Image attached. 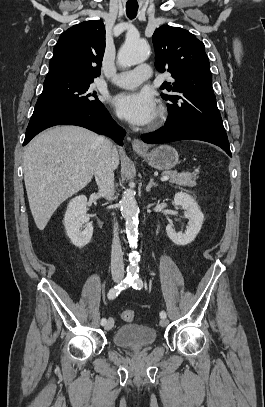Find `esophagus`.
I'll return each instance as SVG.
<instances>
[{
	"label": "esophagus",
	"instance_id": "34e87169",
	"mask_svg": "<svg viewBox=\"0 0 265 407\" xmlns=\"http://www.w3.org/2000/svg\"><path fill=\"white\" fill-rule=\"evenodd\" d=\"M132 148L135 151H142L144 150V145L139 139H134L132 141Z\"/></svg>",
	"mask_w": 265,
	"mask_h": 407
}]
</instances>
